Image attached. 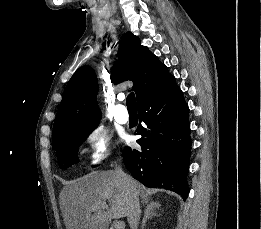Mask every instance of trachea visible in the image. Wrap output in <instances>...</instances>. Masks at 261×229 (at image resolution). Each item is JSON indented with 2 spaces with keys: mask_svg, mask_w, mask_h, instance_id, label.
<instances>
[{
  "mask_svg": "<svg viewBox=\"0 0 261 229\" xmlns=\"http://www.w3.org/2000/svg\"><path fill=\"white\" fill-rule=\"evenodd\" d=\"M126 105L128 108V112H137V106L135 103V94L131 92L126 99Z\"/></svg>",
  "mask_w": 261,
  "mask_h": 229,
  "instance_id": "3493384b",
  "label": "trachea"
}]
</instances>
